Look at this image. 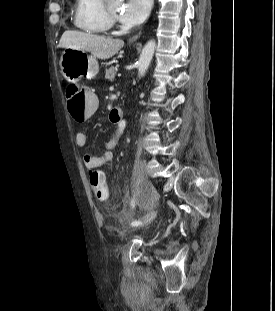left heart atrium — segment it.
<instances>
[{
  "instance_id": "obj_1",
  "label": "left heart atrium",
  "mask_w": 275,
  "mask_h": 311,
  "mask_svg": "<svg viewBox=\"0 0 275 311\" xmlns=\"http://www.w3.org/2000/svg\"><path fill=\"white\" fill-rule=\"evenodd\" d=\"M152 0H127L119 15L120 21L132 27L142 23L151 8Z\"/></svg>"
}]
</instances>
